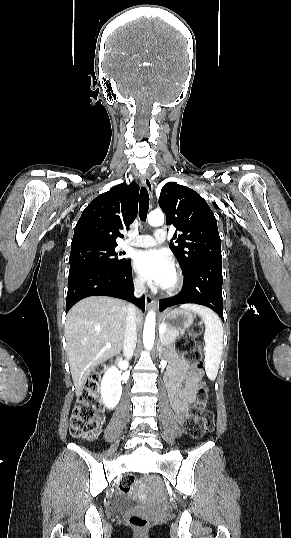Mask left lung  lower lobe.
<instances>
[{"label": "left lung lower lobe", "instance_id": "obj_1", "mask_svg": "<svg viewBox=\"0 0 291 538\" xmlns=\"http://www.w3.org/2000/svg\"><path fill=\"white\" fill-rule=\"evenodd\" d=\"M185 275V285L181 292L171 298L161 299L159 309L178 304H199L211 308L222 320V260H211L194 265Z\"/></svg>", "mask_w": 291, "mask_h": 538}]
</instances>
